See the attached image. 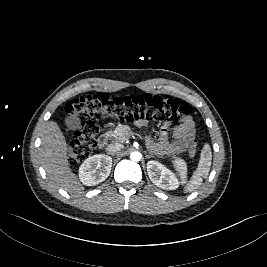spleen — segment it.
Here are the masks:
<instances>
[{"label":"spleen","instance_id":"3e777b00","mask_svg":"<svg viewBox=\"0 0 267 267\" xmlns=\"http://www.w3.org/2000/svg\"><path fill=\"white\" fill-rule=\"evenodd\" d=\"M211 160H212V153L210 145L208 143H205L200 154V161L198 164V168L193 173L191 180L187 184L185 192H192L202 184L203 181L202 177H206L209 173ZM175 165L180 173L182 182L185 183L186 172H187L186 164L182 160H178L175 162Z\"/></svg>","mask_w":267,"mask_h":267}]
</instances>
